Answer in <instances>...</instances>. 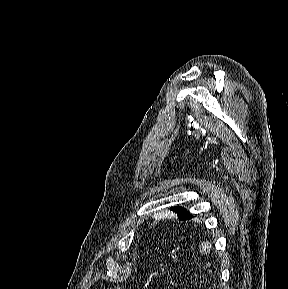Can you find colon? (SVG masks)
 I'll use <instances>...</instances> for the list:
<instances>
[{"mask_svg":"<svg viewBox=\"0 0 288 289\" xmlns=\"http://www.w3.org/2000/svg\"><path fill=\"white\" fill-rule=\"evenodd\" d=\"M102 289H113V288H110V287H106V288H102Z\"/></svg>","mask_w":288,"mask_h":289,"instance_id":"1","label":"colon"}]
</instances>
